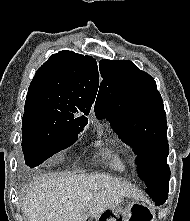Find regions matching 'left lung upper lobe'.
<instances>
[{
	"instance_id": "obj_1",
	"label": "left lung upper lobe",
	"mask_w": 190,
	"mask_h": 221,
	"mask_svg": "<svg viewBox=\"0 0 190 221\" xmlns=\"http://www.w3.org/2000/svg\"><path fill=\"white\" fill-rule=\"evenodd\" d=\"M99 68L96 116L133 147L138 175L151 188L170 176L166 113L156 82L129 60H101Z\"/></svg>"
}]
</instances>
